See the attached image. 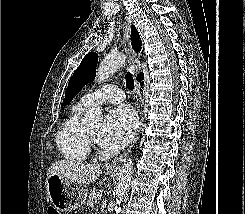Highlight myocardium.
Wrapping results in <instances>:
<instances>
[{"label": "myocardium", "instance_id": "1", "mask_svg": "<svg viewBox=\"0 0 245 214\" xmlns=\"http://www.w3.org/2000/svg\"><path fill=\"white\" fill-rule=\"evenodd\" d=\"M86 141L88 143V145H93L95 142V138L93 136H91L88 131H86Z\"/></svg>", "mask_w": 245, "mask_h": 214}]
</instances>
